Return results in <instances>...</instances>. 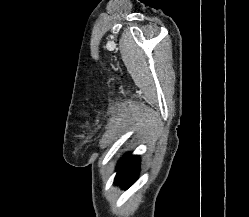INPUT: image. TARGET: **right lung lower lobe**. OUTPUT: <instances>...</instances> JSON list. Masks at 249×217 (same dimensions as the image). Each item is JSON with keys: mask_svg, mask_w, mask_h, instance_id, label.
Instances as JSON below:
<instances>
[{"mask_svg": "<svg viewBox=\"0 0 249 217\" xmlns=\"http://www.w3.org/2000/svg\"><path fill=\"white\" fill-rule=\"evenodd\" d=\"M140 158L132 156L130 153L124 155L117 166L115 183L128 188L137 178Z\"/></svg>", "mask_w": 249, "mask_h": 217, "instance_id": "1", "label": "right lung lower lobe"}]
</instances>
